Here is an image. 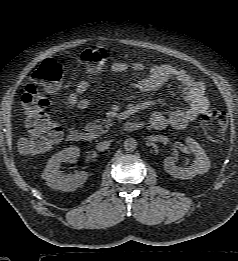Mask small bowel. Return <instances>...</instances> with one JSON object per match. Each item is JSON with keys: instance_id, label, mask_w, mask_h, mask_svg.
<instances>
[{"instance_id": "small-bowel-1", "label": "small bowel", "mask_w": 238, "mask_h": 261, "mask_svg": "<svg viewBox=\"0 0 238 261\" xmlns=\"http://www.w3.org/2000/svg\"><path fill=\"white\" fill-rule=\"evenodd\" d=\"M110 71L122 73L127 70L140 73L146 69L141 62L128 64L124 61L114 60L110 63ZM176 80L183 89L184 98L188 105L182 109H176L169 113L155 112L150 117V125L153 129L162 130L166 127L182 129L194 122L197 117L207 111L209 100L206 95V88L203 82L195 80L185 70L176 68L169 64L153 65L148 68L147 74L134 83V88L142 92H151L160 88L169 80ZM89 81H80L73 93L66 98V104L70 107H77L85 110L89 106V100L81 98L89 88Z\"/></svg>"}]
</instances>
